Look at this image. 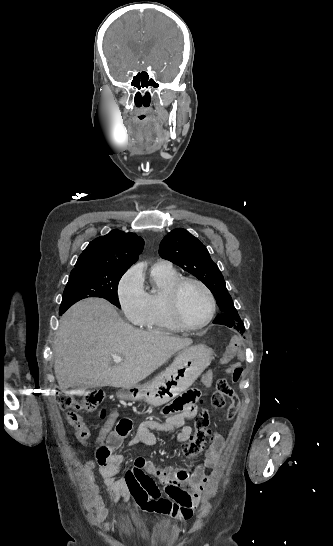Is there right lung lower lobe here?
I'll return each instance as SVG.
<instances>
[{
  "label": "right lung lower lobe",
  "instance_id": "obj_1",
  "mask_svg": "<svg viewBox=\"0 0 333 546\" xmlns=\"http://www.w3.org/2000/svg\"><path fill=\"white\" fill-rule=\"evenodd\" d=\"M64 312H65V311L61 310V311L59 312V315H62Z\"/></svg>",
  "mask_w": 333,
  "mask_h": 546
}]
</instances>
